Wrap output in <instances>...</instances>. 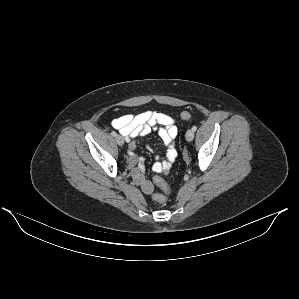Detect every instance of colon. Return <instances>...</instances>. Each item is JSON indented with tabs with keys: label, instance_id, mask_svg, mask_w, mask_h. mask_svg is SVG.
I'll use <instances>...</instances> for the list:
<instances>
[{
	"label": "colon",
	"instance_id": "5ec220e1",
	"mask_svg": "<svg viewBox=\"0 0 299 299\" xmlns=\"http://www.w3.org/2000/svg\"><path fill=\"white\" fill-rule=\"evenodd\" d=\"M190 117L191 114L187 111L181 113L182 120H188ZM156 183L165 193L169 192V186L161 178L156 179ZM153 198L158 203H164L166 201L165 195L161 193H156Z\"/></svg>",
	"mask_w": 299,
	"mask_h": 299
}]
</instances>
